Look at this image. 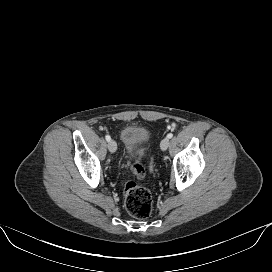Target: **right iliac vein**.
Instances as JSON below:
<instances>
[{"mask_svg":"<svg viewBox=\"0 0 272 272\" xmlns=\"http://www.w3.org/2000/svg\"><path fill=\"white\" fill-rule=\"evenodd\" d=\"M108 149L111 153H114L117 150V144L114 140H110L108 143Z\"/></svg>","mask_w":272,"mask_h":272,"instance_id":"63e3f726","label":"right iliac vein"}]
</instances>
